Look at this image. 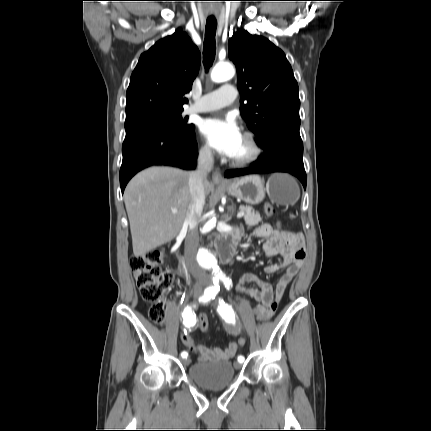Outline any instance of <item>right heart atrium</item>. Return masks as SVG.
I'll list each match as a JSON object with an SVG mask.
<instances>
[{
	"instance_id": "d8ad5b80",
	"label": "right heart atrium",
	"mask_w": 431,
	"mask_h": 431,
	"mask_svg": "<svg viewBox=\"0 0 431 431\" xmlns=\"http://www.w3.org/2000/svg\"><path fill=\"white\" fill-rule=\"evenodd\" d=\"M199 153H200V156L205 160H208L211 158V150L208 147V145H203L201 147Z\"/></svg>"
}]
</instances>
